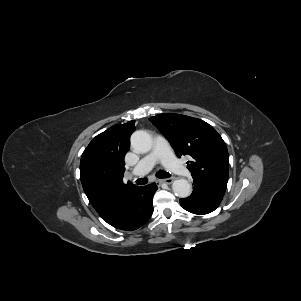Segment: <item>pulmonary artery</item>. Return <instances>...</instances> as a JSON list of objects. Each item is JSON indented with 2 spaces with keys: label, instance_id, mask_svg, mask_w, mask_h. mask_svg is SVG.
Wrapping results in <instances>:
<instances>
[{
  "label": "pulmonary artery",
  "instance_id": "1",
  "mask_svg": "<svg viewBox=\"0 0 301 301\" xmlns=\"http://www.w3.org/2000/svg\"><path fill=\"white\" fill-rule=\"evenodd\" d=\"M157 162H161L166 168L178 175L186 176L189 174L188 169L173 155L167 141L163 137L157 136L154 140L153 149L138 162L132 170L131 176L145 175Z\"/></svg>",
  "mask_w": 301,
  "mask_h": 301
}]
</instances>
